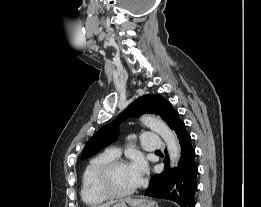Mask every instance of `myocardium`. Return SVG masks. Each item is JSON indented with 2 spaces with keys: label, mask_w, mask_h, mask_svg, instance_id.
Wrapping results in <instances>:
<instances>
[{
  "label": "myocardium",
  "mask_w": 261,
  "mask_h": 207,
  "mask_svg": "<svg viewBox=\"0 0 261 207\" xmlns=\"http://www.w3.org/2000/svg\"><path fill=\"white\" fill-rule=\"evenodd\" d=\"M122 165H128L124 159H113L112 161L105 164L99 171L97 177L98 188L103 195L107 198L118 199L132 195L136 190L137 186L133 187L128 191H116L111 185V177L113 171Z\"/></svg>",
  "instance_id": "1"
}]
</instances>
